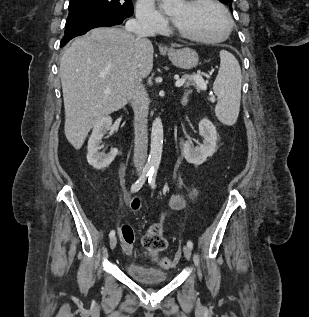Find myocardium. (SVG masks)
<instances>
[{"mask_svg": "<svg viewBox=\"0 0 309 317\" xmlns=\"http://www.w3.org/2000/svg\"><path fill=\"white\" fill-rule=\"evenodd\" d=\"M185 3L191 7L197 6V5H200L203 3H208L211 5H214L223 14L225 21H226V29H225V32L223 33V35H221L219 37L206 38V37L196 36V35H192V34L183 32L174 24V32L176 33L177 36H179L183 39L192 41V42L202 43V44L220 43V42H223L229 38V36L231 35V33L233 31V19H232L230 13L228 12V10L226 9V7L222 3H220L218 0H187V1H185Z\"/></svg>", "mask_w": 309, "mask_h": 317, "instance_id": "obj_1", "label": "myocardium"}]
</instances>
